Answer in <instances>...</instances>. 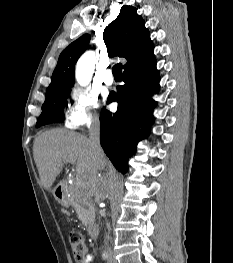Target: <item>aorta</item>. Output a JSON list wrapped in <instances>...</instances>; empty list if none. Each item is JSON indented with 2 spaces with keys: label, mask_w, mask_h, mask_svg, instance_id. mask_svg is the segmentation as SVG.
<instances>
[{
  "label": "aorta",
  "mask_w": 233,
  "mask_h": 263,
  "mask_svg": "<svg viewBox=\"0 0 233 263\" xmlns=\"http://www.w3.org/2000/svg\"><path fill=\"white\" fill-rule=\"evenodd\" d=\"M95 66V57L93 52H87L78 60L76 65V80L77 82L85 86L92 78Z\"/></svg>",
  "instance_id": "1"
}]
</instances>
